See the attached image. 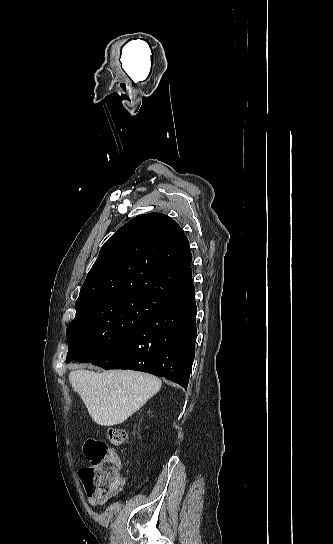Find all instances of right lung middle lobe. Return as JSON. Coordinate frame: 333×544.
Segmentation results:
<instances>
[{
  "mask_svg": "<svg viewBox=\"0 0 333 544\" xmlns=\"http://www.w3.org/2000/svg\"><path fill=\"white\" fill-rule=\"evenodd\" d=\"M168 301L146 294H124L77 302L74 320L67 327L66 362L89 355L129 336Z\"/></svg>",
  "mask_w": 333,
  "mask_h": 544,
  "instance_id": "1",
  "label": "right lung middle lobe"
}]
</instances>
